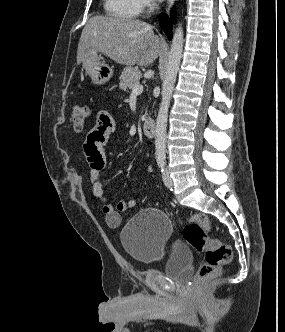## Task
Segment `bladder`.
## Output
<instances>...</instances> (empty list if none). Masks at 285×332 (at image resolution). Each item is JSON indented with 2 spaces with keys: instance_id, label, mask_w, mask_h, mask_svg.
I'll list each match as a JSON object with an SVG mask.
<instances>
[{
  "instance_id": "obj_1",
  "label": "bladder",
  "mask_w": 285,
  "mask_h": 332,
  "mask_svg": "<svg viewBox=\"0 0 285 332\" xmlns=\"http://www.w3.org/2000/svg\"><path fill=\"white\" fill-rule=\"evenodd\" d=\"M173 227L169 217L156 208L135 214L123 227L120 240L125 251L136 261L151 263L163 257ZM193 254L181 242H175L166 257L165 274L185 280L191 271Z\"/></svg>"
}]
</instances>
